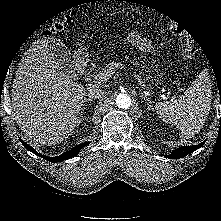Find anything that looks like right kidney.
<instances>
[{
    "label": "right kidney",
    "mask_w": 221,
    "mask_h": 221,
    "mask_svg": "<svg viewBox=\"0 0 221 221\" xmlns=\"http://www.w3.org/2000/svg\"><path fill=\"white\" fill-rule=\"evenodd\" d=\"M83 120H84L83 116L82 117L80 116L79 118H77L73 123L74 127L78 126L80 123H82Z\"/></svg>",
    "instance_id": "obj_1"
}]
</instances>
